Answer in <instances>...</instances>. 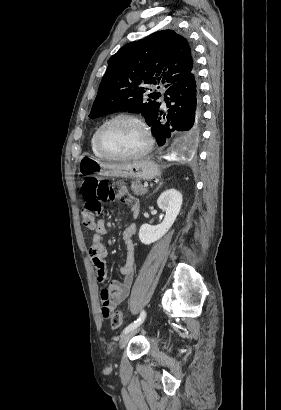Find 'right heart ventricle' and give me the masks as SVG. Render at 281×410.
I'll return each mask as SVG.
<instances>
[{
    "label": "right heart ventricle",
    "instance_id": "1",
    "mask_svg": "<svg viewBox=\"0 0 281 410\" xmlns=\"http://www.w3.org/2000/svg\"><path fill=\"white\" fill-rule=\"evenodd\" d=\"M97 129H98V128H97ZM97 129L93 132V134H92V136H91V139H90V148H91L92 153H93L95 156H97V157H99V158H105V157L100 153V151L97 149V146H96V132H97Z\"/></svg>",
    "mask_w": 281,
    "mask_h": 410
}]
</instances>
